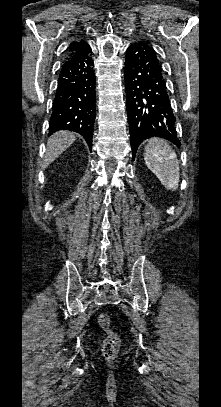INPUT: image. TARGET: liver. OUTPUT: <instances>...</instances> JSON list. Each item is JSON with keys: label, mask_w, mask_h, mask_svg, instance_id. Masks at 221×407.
I'll return each mask as SVG.
<instances>
[{"label": "liver", "mask_w": 221, "mask_h": 407, "mask_svg": "<svg viewBox=\"0 0 221 407\" xmlns=\"http://www.w3.org/2000/svg\"><path fill=\"white\" fill-rule=\"evenodd\" d=\"M76 136L70 131H59L49 137L47 141V150L45 153L42 167L50 165L59 155L69 148L75 141Z\"/></svg>", "instance_id": "1"}]
</instances>
